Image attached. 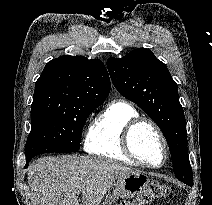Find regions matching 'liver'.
<instances>
[{
    "label": "liver",
    "instance_id": "6515ba94",
    "mask_svg": "<svg viewBox=\"0 0 212 205\" xmlns=\"http://www.w3.org/2000/svg\"><path fill=\"white\" fill-rule=\"evenodd\" d=\"M134 173L111 160L91 156L45 157L28 169L33 205H100L112 183Z\"/></svg>",
    "mask_w": 212,
    "mask_h": 205
}]
</instances>
